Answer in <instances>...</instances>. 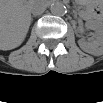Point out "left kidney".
I'll return each mask as SVG.
<instances>
[{
    "mask_svg": "<svg viewBox=\"0 0 103 103\" xmlns=\"http://www.w3.org/2000/svg\"><path fill=\"white\" fill-rule=\"evenodd\" d=\"M86 28L95 31V35L90 41H85L84 39L78 40V45L80 48L90 54H95L101 52L103 49V26L102 23L90 21L86 22Z\"/></svg>",
    "mask_w": 103,
    "mask_h": 103,
    "instance_id": "1",
    "label": "left kidney"
}]
</instances>
